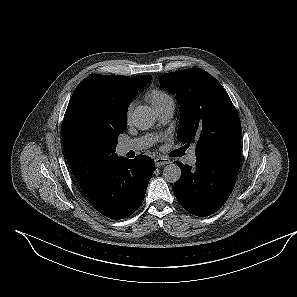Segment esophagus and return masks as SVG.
Segmentation results:
<instances>
[{
  "instance_id": "esophagus-1",
  "label": "esophagus",
  "mask_w": 297,
  "mask_h": 297,
  "mask_svg": "<svg viewBox=\"0 0 297 297\" xmlns=\"http://www.w3.org/2000/svg\"><path fill=\"white\" fill-rule=\"evenodd\" d=\"M154 161H155V166H156V167H161V166H164V165L170 163V160H169V159H167V158H162V157H158V158H156Z\"/></svg>"
}]
</instances>
